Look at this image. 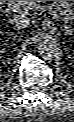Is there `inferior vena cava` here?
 Listing matches in <instances>:
<instances>
[{"mask_svg":"<svg viewBox=\"0 0 74 122\" xmlns=\"http://www.w3.org/2000/svg\"><path fill=\"white\" fill-rule=\"evenodd\" d=\"M9 23L11 26L16 27L18 29L27 28L30 24V20L27 16L21 14H15L9 19Z\"/></svg>","mask_w":74,"mask_h":122,"instance_id":"inferior-vena-cava-1","label":"inferior vena cava"}]
</instances>
